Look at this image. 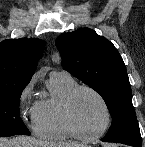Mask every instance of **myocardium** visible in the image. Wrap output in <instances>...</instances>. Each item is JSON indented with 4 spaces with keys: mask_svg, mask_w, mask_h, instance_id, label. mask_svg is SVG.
I'll list each match as a JSON object with an SVG mask.
<instances>
[{
    "mask_svg": "<svg viewBox=\"0 0 145 147\" xmlns=\"http://www.w3.org/2000/svg\"><path fill=\"white\" fill-rule=\"evenodd\" d=\"M82 91H88L92 93L94 96H96L105 110V114H106L105 125L101 130L94 133H88L81 127L74 112L75 99L78 96V94ZM64 113L66 120L69 123L70 127L73 129V131L77 133L81 138L88 140L101 137L103 134H105L108 131L112 122V112L105 97L98 90L87 85H78L68 94L64 102Z\"/></svg>",
    "mask_w": 145,
    "mask_h": 147,
    "instance_id": "1",
    "label": "myocardium"
}]
</instances>
